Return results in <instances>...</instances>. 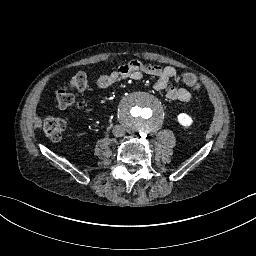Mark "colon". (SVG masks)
Segmentation results:
<instances>
[{
    "instance_id": "5ec220e1",
    "label": "colon",
    "mask_w": 256,
    "mask_h": 256,
    "mask_svg": "<svg viewBox=\"0 0 256 256\" xmlns=\"http://www.w3.org/2000/svg\"><path fill=\"white\" fill-rule=\"evenodd\" d=\"M179 81L194 91L202 89L200 79L191 73H182L178 75ZM88 87V77L85 73L73 75L67 82L65 89H59L55 93V102L58 108L65 109L69 107L79 108L80 105L75 100L71 90H85ZM43 129L48 138L53 141L62 139L66 129V122L61 118H47L43 123Z\"/></svg>"
}]
</instances>
